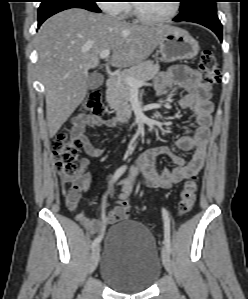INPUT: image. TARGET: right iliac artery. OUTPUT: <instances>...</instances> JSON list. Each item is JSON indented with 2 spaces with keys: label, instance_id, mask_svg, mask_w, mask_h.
Instances as JSON below:
<instances>
[{
  "label": "right iliac artery",
  "instance_id": "1",
  "mask_svg": "<svg viewBox=\"0 0 248 299\" xmlns=\"http://www.w3.org/2000/svg\"><path fill=\"white\" fill-rule=\"evenodd\" d=\"M126 169H127L126 165H123L120 168H118L116 170V172L114 173L111 181H110V185H112L113 183H115L119 179V177L126 171ZM107 193L103 197V202H102V218L104 217V210H105V202H106ZM104 229H105V227L102 228L101 234L97 238H95L94 241L92 242V248H94L96 245H98L100 243V241L102 240Z\"/></svg>",
  "mask_w": 248,
  "mask_h": 299
}]
</instances>
